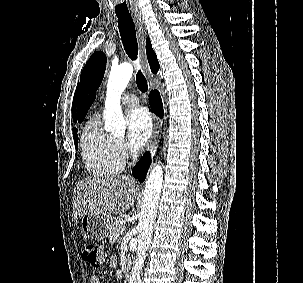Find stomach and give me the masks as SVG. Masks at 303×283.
<instances>
[{
    "label": "stomach",
    "mask_w": 303,
    "mask_h": 283,
    "mask_svg": "<svg viewBox=\"0 0 303 283\" xmlns=\"http://www.w3.org/2000/svg\"><path fill=\"white\" fill-rule=\"evenodd\" d=\"M113 218L110 215L86 214L81 217V229L84 237L103 240L110 234Z\"/></svg>",
    "instance_id": "stomach-1"
}]
</instances>
